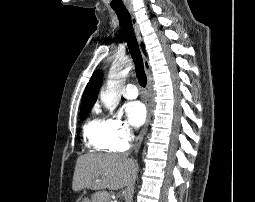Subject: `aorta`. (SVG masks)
<instances>
[{"label": "aorta", "mask_w": 255, "mask_h": 202, "mask_svg": "<svg viewBox=\"0 0 255 202\" xmlns=\"http://www.w3.org/2000/svg\"><path fill=\"white\" fill-rule=\"evenodd\" d=\"M130 68L131 61L128 58H120L114 61L110 69L107 88L100 95L101 101L110 112L120 103L123 80Z\"/></svg>", "instance_id": "obj_1"}]
</instances>
